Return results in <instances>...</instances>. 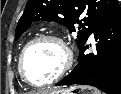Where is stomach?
I'll return each mask as SVG.
<instances>
[{
	"label": "stomach",
	"mask_w": 121,
	"mask_h": 94,
	"mask_svg": "<svg viewBox=\"0 0 121 94\" xmlns=\"http://www.w3.org/2000/svg\"><path fill=\"white\" fill-rule=\"evenodd\" d=\"M50 94H100V92L93 88L86 90L83 86H73L69 89L59 90Z\"/></svg>",
	"instance_id": "obj_1"
}]
</instances>
